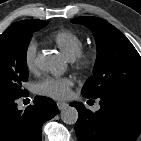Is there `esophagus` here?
I'll return each mask as SVG.
<instances>
[{
  "instance_id": "esophagus-1",
  "label": "esophagus",
  "mask_w": 141,
  "mask_h": 141,
  "mask_svg": "<svg viewBox=\"0 0 141 141\" xmlns=\"http://www.w3.org/2000/svg\"><path fill=\"white\" fill-rule=\"evenodd\" d=\"M57 107L59 110H63L68 107V103L66 102H57Z\"/></svg>"
}]
</instances>
